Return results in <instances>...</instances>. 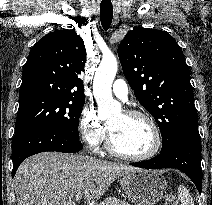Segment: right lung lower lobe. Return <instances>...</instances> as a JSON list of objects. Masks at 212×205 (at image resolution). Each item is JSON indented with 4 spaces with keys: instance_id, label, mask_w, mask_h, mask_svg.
<instances>
[{
    "instance_id": "1",
    "label": "right lung lower lobe",
    "mask_w": 212,
    "mask_h": 205,
    "mask_svg": "<svg viewBox=\"0 0 212 205\" xmlns=\"http://www.w3.org/2000/svg\"><path fill=\"white\" fill-rule=\"evenodd\" d=\"M81 149L79 139L55 129L38 127L22 130L15 133L12 141V177L21 162L31 155L45 151L75 153Z\"/></svg>"
}]
</instances>
